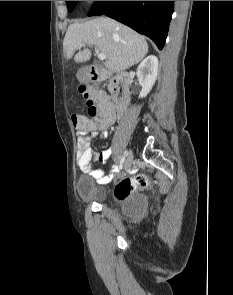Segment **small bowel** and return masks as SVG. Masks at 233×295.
<instances>
[{"label":"small bowel","mask_w":233,"mask_h":295,"mask_svg":"<svg viewBox=\"0 0 233 295\" xmlns=\"http://www.w3.org/2000/svg\"><path fill=\"white\" fill-rule=\"evenodd\" d=\"M97 102L98 106L105 113V116L97 126L77 132V164L83 173L89 174L91 177L97 179L100 184H106L112 179L114 174L119 172L121 162L117 160V164L110 166L109 175H105L103 169L93 170L91 167L92 161H97L106 165L112 154V149L107 148L101 153H94L91 148V140L94 138L106 139L108 136V128L116 122L118 113L108 95L100 93Z\"/></svg>","instance_id":"small-bowel-1"}]
</instances>
